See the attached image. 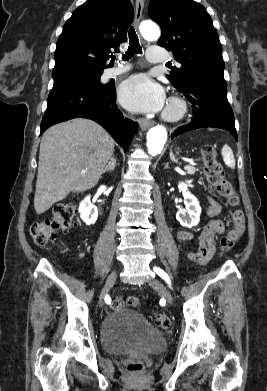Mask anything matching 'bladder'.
Listing matches in <instances>:
<instances>
[{
    "label": "bladder",
    "mask_w": 267,
    "mask_h": 391,
    "mask_svg": "<svg viewBox=\"0 0 267 391\" xmlns=\"http://www.w3.org/2000/svg\"><path fill=\"white\" fill-rule=\"evenodd\" d=\"M101 342L103 348L112 354L135 350L157 353L166 347L164 334L147 323L141 314L127 308H118L105 317Z\"/></svg>",
    "instance_id": "bladder-1"
}]
</instances>
